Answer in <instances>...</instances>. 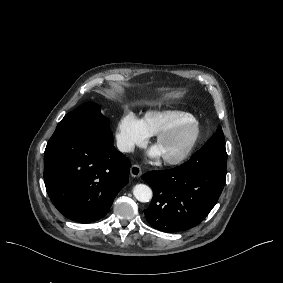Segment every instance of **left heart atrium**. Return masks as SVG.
<instances>
[{
	"label": "left heart atrium",
	"instance_id": "left-heart-atrium-1",
	"mask_svg": "<svg viewBox=\"0 0 283 283\" xmlns=\"http://www.w3.org/2000/svg\"><path fill=\"white\" fill-rule=\"evenodd\" d=\"M147 160H159L163 157L162 152L157 144L151 145L144 154Z\"/></svg>",
	"mask_w": 283,
	"mask_h": 283
}]
</instances>
